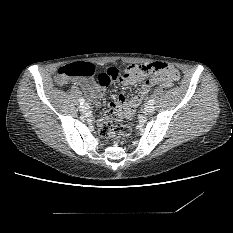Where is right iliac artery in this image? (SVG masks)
I'll return each mask as SVG.
<instances>
[{
	"instance_id": "right-iliac-artery-1",
	"label": "right iliac artery",
	"mask_w": 233,
	"mask_h": 233,
	"mask_svg": "<svg viewBox=\"0 0 233 233\" xmlns=\"http://www.w3.org/2000/svg\"><path fill=\"white\" fill-rule=\"evenodd\" d=\"M79 103H80V105H83L85 103V100L83 98H80Z\"/></svg>"
}]
</instances>
